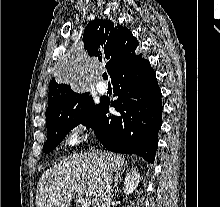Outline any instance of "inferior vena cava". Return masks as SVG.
<instances>
[{
	"mask_svg": "<svg viewBox=\"0 0 220 207\" xmlns=\"http://www.w3.org/2000/svg\"><path fill=\"white\" fill-rule=\"evenodd\" d=\"M102 160L101 158H99ZM112 173L102 167L95 190L94 207H110L112 201Z\"/></svg>",
	"mask_w": 220,
	"mask_h": 207,
	"instance_id": "602c4592",
	"label": "inferior vena cava"
}]
</instances>
